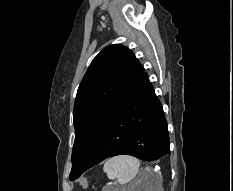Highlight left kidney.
I'll return each mask as SVG.
<instances>
[{"instance_id": "left-kidney-1", "label": "left kidney", "mask_w": 233, "mask_h": 191, "mask_svg": "<svg viewBox=\"0 0 233 191\" xmlns=\"http://www.w3.org/2000/svg\"><path fill=\"white\" fill-rule=\"evenodd\" d=\"M140 183L143 184V186H147V183H146V181L144 179H141ZM159 185H160V183L157 182V184H156L157 188H158ZM146 188H150V187H146Z\"/></svg>"}]
</instances>
